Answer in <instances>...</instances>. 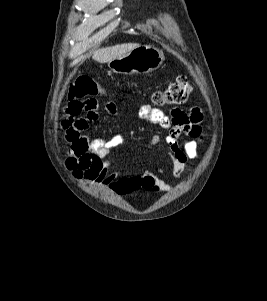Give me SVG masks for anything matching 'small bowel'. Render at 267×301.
<instances>
[{
    "instance_id": "1",
    "label": "small bowel",
    "mask_w": 267,
    "mask_h": 301,
    "mask_svg": "<svg viewBox=\"0 0 267 301\" xmlns=\"http://www.w3.org/2000/svg\"><path fill=\"white\" fill-rule=\"evenodd\" d=\"M98 108L95 97L71 99L64 108L65 118L61 127L70 145L66 160L68 169L76 178L105 186L120 196H134L141 192H170L172 185L159 174L145 171L121 176L109 170V155L123 139L121 136L110 139L91 138L85 133L90 123L98 119ZM116 108V103L110 102L106 104L105 111L109 115H115ZM138 117L167 130L164 141L173 163L172 175L175 179H180L187 171L188 162L199 159L197 141L202 136L200 110L194 108L186 112L173 108L166 114L158 108L145 105L139 108ZM160 141L161 138L155 135L150 138L148 145L151 147ZM163 171L159 169L158 173Z\"/></svg>"
}]
</instances>
